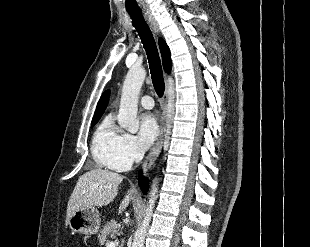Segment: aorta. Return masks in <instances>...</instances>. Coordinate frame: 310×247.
<instances>
[{
  "label": "aorta",
  "mask_w": 310,
  "mask_h": 247,
  "mask_svg": "<svg viewBox=\"0 0 310 247\" xmlns=\"http://www.w3.org/2000/svg\"><path fill=\"white\" fill-rule=\"evenodd\" d=\"M145 77L146 71L143 68H131L123 83L118 124L121 128L126 129L130 133H136L139 129V120L137 118L138 99ZM157 183L158 180L155 179L151 187L143 221L135 232L132 247L144 246L146 233L153 214L155 201L157 199Z\"/></svg>",
  "instance_id": "1"
}]
</instances>
